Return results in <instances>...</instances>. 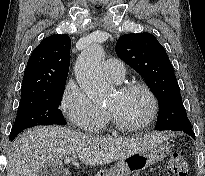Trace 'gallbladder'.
Returning a JSON list of instances; mask_svg holds the SVG:
<instances>
[{"label":"gallbladder","mask_w":205,"mask_h":176,"mask_svg":"<svg viewBox=\"0 0 205 176\" xmlns=\"http://www.w3.org/2000/svg\"><path fill=\"white\" fill-rule=\"evenodd\" d=\"M38 176H64V174L56 165L47 164L39 170Z\"/></svg>","instance_id":"1"}]
</instances>
